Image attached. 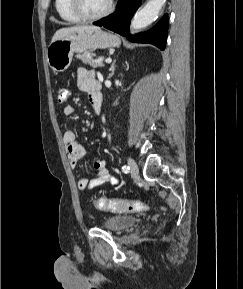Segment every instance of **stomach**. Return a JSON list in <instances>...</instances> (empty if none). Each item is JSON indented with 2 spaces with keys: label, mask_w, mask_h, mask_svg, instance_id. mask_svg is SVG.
Here are the masks:
<instances>
[{
  "label": "stomach",
  "mask_w": 243,
  "mask_h": 289,
  "mask_svg": "<svg viewBox=\"0 0 243 289\" xmlns=\"http://www.w3.org/2000/svg\"><path fill=\"white\" fill-rule=\"evenodd\" d=\"M120 44L118 36L101 29L76 30L50 43L47 62L54 72H63L70 66L74 53L118 47Z\"/></svg>",
  "instance_id": "stomach-1"
}]
</instances>
